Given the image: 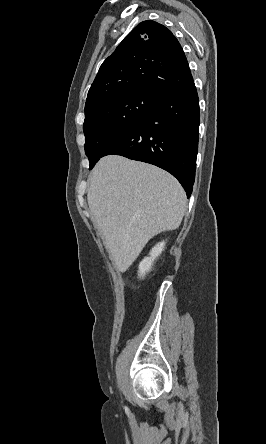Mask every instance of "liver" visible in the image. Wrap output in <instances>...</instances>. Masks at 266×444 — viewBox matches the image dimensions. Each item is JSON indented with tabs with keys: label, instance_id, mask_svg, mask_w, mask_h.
I'll return each mask as SVG.
<instances>
[{
	"label": "liver",
	"instance_id": "1",
	"mask_svg": "<svg viewBox=\"0 0 266 444\" xmlns=\"http://www.w3.org/2000/svg\"><path fill=\"white\" fill-rule=\"evenodd\" d=\"M89 183V209L120 272L152 237L182 222L186 194L172 175L156 166L105 156L90 173Z\"/></svg>",
	"mask_w": 266,
	"mask_h": 444
}]
</instances>
